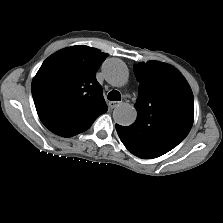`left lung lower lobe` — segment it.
<instances>
[{
	"label": "left lung lower lobe",
	"instance_id": "left-lung-lower-lobe-1",
	"mask_svg": "<svg viewBox=\"0 0 223 223\" xmlns=\"http://www.w3.org/2000/svg\"><path fill=\"white\" fill-rule=\"evenodd\" d=\"M118 125H116L117 127ZM132 154L140 157V158H144V159H149V158H155L156 156L148 153V152H144V151H141V150H137V149H132V148H128L126 147Z\"/></svg>",
	"mask_w": 223,
	"mask_h": 223
}]
</instances>
